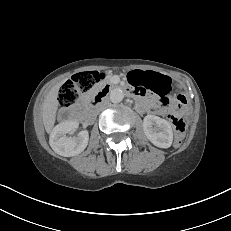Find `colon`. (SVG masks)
<instances>
[{
	"label": "colon",
	"mask_w": 231,
	"mask_h": 231,
	"mask_svg": "<svg viewBox=\"0 0 231 231\" xmlns=\"http://www.w3.org/2000/svg\"><path fill=\"white\" fill-rule=\"evenodd\" d=\"M106 78L102 72L87 71L75 75L71 80L67 81L60 89L58 103L60 109H66L74 105L86 92L93 88L97 83ZM142 76L131 73L129 76L130 83L139 88L138 84L142 80ZM179 102L182 108L186 105V98L179 96ZM172 125L175 131V146H179L182 142L186 130V123L183 117L172 115Z\"/></svg>",
	"instance_id": "obj_1"
}]
</instances>
